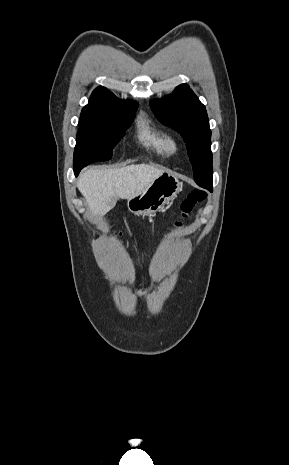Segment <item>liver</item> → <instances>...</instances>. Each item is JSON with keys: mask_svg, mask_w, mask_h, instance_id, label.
<instances>
[{"mask_svg": "<svg viewBox=\"0 0 289 465\" xmlns=\"http://www.w3.org/2000/svg\"><path fill=\"white\" fill-rule=\"evenodd\" d=\"M163 170L147 164L129 165L119 169L86 170L77 187L85 197L95 218L110 211L118 199H129L143 191Z\"/></svg>", "mask_w": 289, "mask_h": 465, "instance_id": "1", "label": "liver"}]
</instances>
